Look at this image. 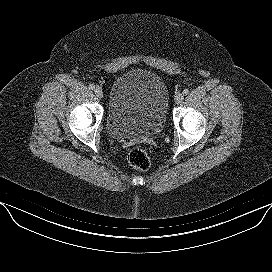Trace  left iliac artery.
<instances>
[{
	"label": "left iliac artery",
	"mask_w": 272,
	"mask_h": 272,
	"mask_svg": "<svg viewBox=\"0 0 272 272\" xmlns=\"http://www.w3.org/2000/svg\"><path fill=\"white\" fill-rule=\"evenodd\" d=\"M183 94H184V95L189 94V90H188V89H184V90H183Z\"/></svg>",
	"instance_id": "44dca946"
}]
</instances>
